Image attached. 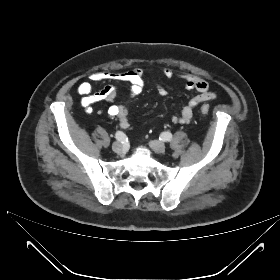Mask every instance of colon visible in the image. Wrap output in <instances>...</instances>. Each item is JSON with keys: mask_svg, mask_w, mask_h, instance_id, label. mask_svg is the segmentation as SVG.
<instances>
[{"mask_svg": "<svg viewBox=\"0 0 280 280\" xmlns=\"http://www.w3.org/2000/svg\"><path fill=\"white\" fill-rule=\"evenodd\" d=\"M200 111L202 114H207L209 112V108L207 106H202Z\"/></svg>", "mask_w": 280, "mask_h": 280, "instance_id": "colon-1", "label": "colon"}]
</instances>
